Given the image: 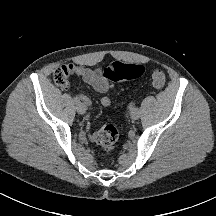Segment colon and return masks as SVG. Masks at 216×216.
<instances>
[{
	"instance_id": "1",
	"label": "colon",
	"mask_w": 216,
	"mask_h": 216,
	"mask_svg": "<svg viewBox=\"0 0 216 216\" xmlns=\"http://www.w3.org/2000/svg\"><path fill=\"white\" fill-rule=\"evenodd\" d=\"M143 71V66L139 64L112 62L104 69L103 77L111 86L122 80L138 78L143 74ZM71 73L70 65L58 67L53 73L54 83L60 87L67 86ZM151 79L153 86L161 89L165 85L166 75L162 70L157 69L152 72ZM118 138V129L112 124H106L96 131L95 142L105 154H110L114 150Z\"/></svg>"
}]
</instances>
